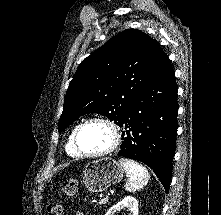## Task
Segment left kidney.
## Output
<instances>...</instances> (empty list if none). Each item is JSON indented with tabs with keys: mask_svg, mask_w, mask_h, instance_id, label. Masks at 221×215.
Returning a JSON list of instances; mask_svg holds the SVG:
<instances>
[{
	"mask_svg": "<svg viewBox=\"0 0 221 215\" xmlns=\"http://www.w3.org/2000/svg\"><path fill=\"white\" fill-rule=\"evenodd\" d=\"M127 209L128 215H138V201L132 196H126L116 205L112 206L105 215H115L118 211Z\"/></svg>",
	"mask_w": 221,
	"mask_h": 215,
	"instance_id": "1",
	"label": "left kidney"
}]
</instances>
